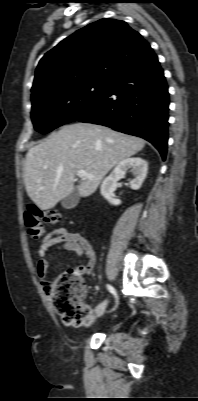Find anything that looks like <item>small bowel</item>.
<instances>
[{
	"instance_id": "1",
	"label": "small bowel",
	"mask_w": 198,
	"mask_h": 401,
	"mask_svg": "<svg viewBox=\"0 0 198 401\" xmlns=\"http://www.w3.org/2000/svg\"><path fill=\"white\" fill-rule=\"evenodd\" d=\"M53 248H61L81 256L84 259V262L80 266L79 270L85 275L89 274L95 265V250L87 238H85L79 232H70L62 227L53 229L45 235L38 248L39 258L36 264V271L40 278L41 285L48 293L50 289V281L47 277L49 269L47 255ZM104 304H106V302L102 303L100 306Z\"/></svg>"
}]
</instances>
